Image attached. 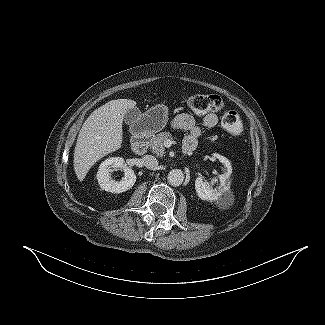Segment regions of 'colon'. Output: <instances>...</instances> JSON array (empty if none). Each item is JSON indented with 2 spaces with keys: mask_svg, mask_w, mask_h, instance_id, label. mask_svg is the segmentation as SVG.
Instances as JSON below:
<instances>
[{
  "mask_svg": "<svg viewBox=\"0 0 325 325\" xmlns=\"http://www.w3.org/2000/svg\"><path fill=\"white\" fill-rule=\"evenodd\" d=\"M188 107L195 114L218 112L224 108L222 98L216 94H196L188 98ZM222 125L232 136H240L243 124L235 110L227 109L222 115Z\"/></svg>",
  "mask_w": 325,
  "mask_h": 325,
  "instance_id": "1",
  "label": "colon"
}]
</instances>
